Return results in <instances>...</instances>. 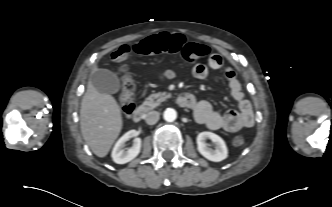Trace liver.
I'll list each match as a JSON object with an SVG mask.
<instances>
[{"label":"liver","instance_id":"liver-1","mask_svg":"<svg viewBox=\"0 0 332 207\" xmlns=\"http://www.w3.org/2000/svg\"><path fill=\"white\" fill-rule=\"evenodd\" d=\"M123 125L116 99L98 92L91 80L81 102L80 126L83 139L98 157H105Z\"/></svg>","mask_w":332,"mask_h":207}]
</instances>
